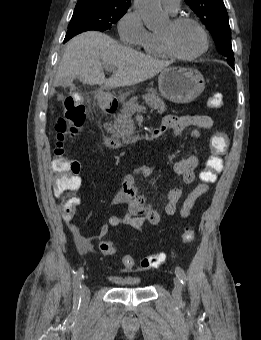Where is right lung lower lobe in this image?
<instances>
[{"instance_id":"1","label":"right lung lower lobe","mask_w":261,"mask_h":340,"mask_svg":"<svg viewBox=\"0 0 261 340\" xmlns=\"http://www.w3.org/2000/svg\"><path fill=\"white\" fill-rule=\"evenodd\" d=\"M89 29H86V28H73V29H69L66 33V36H65V39H64V42H67L69 39H71L72 37H74L75 35L81 33V32H85V31H88Z\"/></svg>"}]
</instances>
